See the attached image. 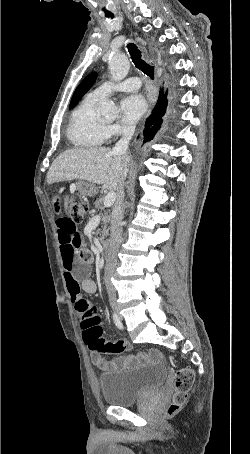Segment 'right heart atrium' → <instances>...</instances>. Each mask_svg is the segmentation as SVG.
<instances>
[{"mask_svg": "<svg viewBox=\"0 0 250 454\" xmlns=\"http://www.w3.org/2000/svg\"><path fill=\"white\" fill-rule=\"evenodd\" d=\"M108 128H109L110 133H112V134H120V133L125 132V130H126L124 127L119 126V125H112Z\"/></svg>", "mask_w": 250, "mask_h": 454, "instance_id": "d8ad5b80", "label": "right heart atrium"}]
</instances>
